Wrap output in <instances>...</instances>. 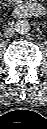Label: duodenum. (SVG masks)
<instances>
[{
  "label": "duodenum",
  "instance_id": "duodenum-1",
  "mask_svg": "<svg viewBox=\"0 0 47 129\" xmlns=\"http://www.w3.org/2000/svg\"><path fill=\"white\" fill-rule=\"evenodd\" d=\"M14 16L19 18H26L31 16H42L44 14V9L37 3L29 2L17 6L14 9Z\"/></svg>",
  "mask_w": 47,
  "mask_h": 129
}]
</instances>
